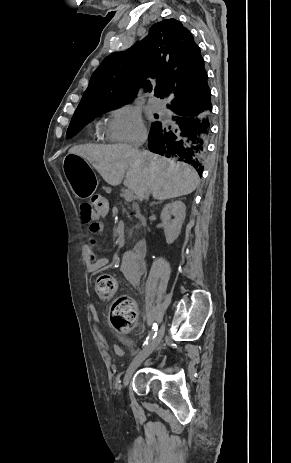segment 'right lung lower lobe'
Masks as SVG:
<instances>
[{"label":"right lung lower lobe","mask_w":291,"mask_h":463,"mask_svg":"<svg viewBox=\"0 0 291 463\" xmlns=\"http://www.w3.org/2000/svg\"><path fill=\"white\" fill-rule=\"evenodd\" d=\"M202 96L191 103L175 102L168 106L172 111V125L156 122L152 125L149 150L192 165L201 176L211 124V92L207 74L203 80Z\"/></svg>","instance_id":"obj_1"}]
</instances>
